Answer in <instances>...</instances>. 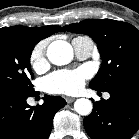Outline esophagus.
<instances>
[{
	"instance_id": "1",
	"label": "esophagus",
	"mask_w": 139,
	"mask_h": 139,
	"mask_svg": "<svg viewBox=\"0 0 139 139\" xmlns=\"http://www.w3.org/2000/svg\"><path fill=\"white\" fill-rule=\"evenodd\" d=\"M65 100H66L67 103H72L75 100V98L66 97Z\"/></svg>"
}]
</instances>
